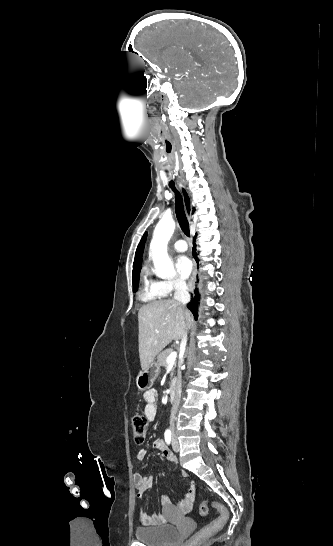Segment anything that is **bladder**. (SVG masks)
<instances>
[{
    "label": "bladder",
    "instance_id": "bladder-1",
    "mask_svg": "<svg viewBox=\"0 0 333 546\" xmlns=\"http://www.w3.org/2000/svg\"><path fill=\"white\" fill-rule=\"evenodd\" d=\"M135 537L148 546H172L179 538V530L169 524L139 527L135 530Z\"/></svg>",
    "mask_w": 333,
    "mask_h": 546
}]
</instances>
